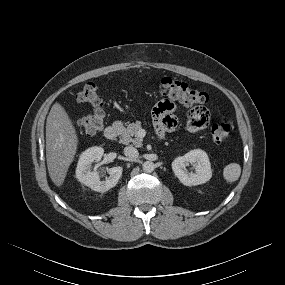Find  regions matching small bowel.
<instances>
[{
	"label": "small bowel",
	"instance_id": "1",
	"mask_svg": "<svg viewBox=\"0 0 285 285\" xmlns=\"http://www.w3.org/2000/svg\"><path fill=\"white\" fill-rule=\"evenodd\" d=\"M178 99L167 95L153 109L152 118L159 133L170 132L175 129L177 121L173 112L178 110ZM210 122V114L205 108H193L187 114L186 126L190 132H198L205 129Z\"/></svg>",
	"mask_w": 285,
	"mask_h": 285
}]
</instances>
